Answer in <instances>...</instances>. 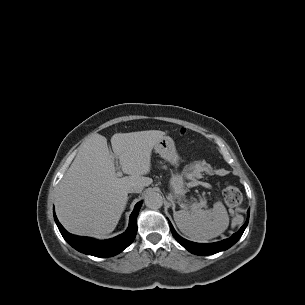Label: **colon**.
Returning a JSON list of instances; mask_svg holds the SVG:
<instances>
[{
    "label": "colon",
    "instance_id": "obj_1",
    "mask_svg": "<svg viewBox=\"0 0 305 305\" xmlns=\"http://www.w3.org/2000/svg\"><path fill=\"white\" fill-rule=\"evenodd\" d=\"M181 133H185V130L182 129ZM223 198L225 203L230 207L238 206L242 201V195L238 188L233 185H226L223 189Z\"/></svg>",
    "mask_w": 305,
    "mask_h": 305
}]
</instances>
